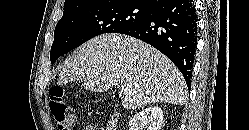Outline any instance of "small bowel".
I'll return each instance as SVG.
<instances>
[{
	"label": "small bowel",
	"mask_w": 249,
	"mask_h": 130,
	"mask_svg": "<svg viewBox=\"0 0 249 130\" xmlns=\"http://www.w3.org/2000/svg\"><path fill=\"white\" fill-rule=\"evenodd\" d=\"M83 130H104V129L96 124H88L84 127Z\"/></svg>",
	"instance_id": "obj_1"
}]
</instances>
